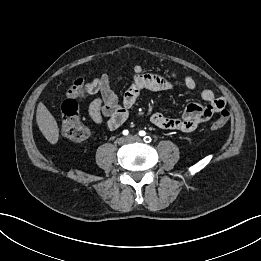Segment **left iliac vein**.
<instances>
[{"mask_svg": "<svg viewBox=\"0 0 261 261\" xmlns=\"http://www.w3.org/2000/svg\"><path fill=\"white\" fill-rule=\"evenodd\" d=\"M127 140L129 142H140L142 139L138 135H133V136L130 135V136L127 137Z\"/></svg>", "mask_w": 261, "mask_h": 261, "instance_id": "4c4485c4", "label": "left iliac vein"}]
</instances>
